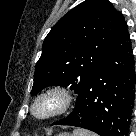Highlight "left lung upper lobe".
<instances>
[{"label": "left lung upper lobe", "mask_w": 136, "mask_h": 136, "mask_svg": "<svg viewBox=\"0 0 136 136\" xmlns=\"http://www.w3.org/2000/svg\"><path fill=\"white\" fill-rule=\"evenodd\" d=\"M123 22L122 14L107 0H86L70 10L44 40L31 94L50 85L70 86L79 93Z\"/></svg>", "instance_id": "left-lung-upper-lobe-1"}]
</instances>
